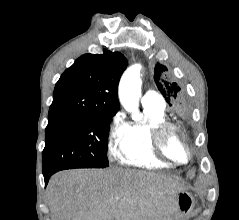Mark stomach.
I'll list each match as a JSON object with an SVG mask.
<instances>
[{
	"instance_id": "0dacf381",
	"label": "stomach",
	"mask_w": 239,
	"mask_h": 220,
	"mask_svg": "<svg viewBox=\"0 0 239 220\" xmlns=\"http://www.w3.org/2000/svg\"><path fill=\"white\" fill-rule=\"evenodd\" d=\"M177 212L180 217L188 215L194 208V199L186 191L179 192L176 195Z\"/></svg>"
}]
</instances>
